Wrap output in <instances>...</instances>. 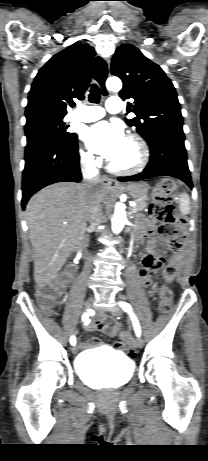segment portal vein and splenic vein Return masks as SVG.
<instances>
[{"label": "portal vein and splenic vein", "instance_id": "portal-vein-and-splenic-vein-1", "mask_svg": "<svg viewBox=\"0 0 208 461\" xmlns=\"http://www.w3.org/2000/svg\"><path fill=\"white\" fill-rule=\"evenodd\" d=\"M130 206H131L132 210L134 211V208L136 207V203L135 202H130Z\"/></svg>", "mask_w": 208, "mask_h": 461}]
</instances>
